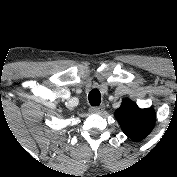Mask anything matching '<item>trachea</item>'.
<instances>
[{
  "label": "trachea",
  "instance_id": "obj_1",
  "mask_svg": "<svg viewBox=\"0 0 177 177\" xmlns=\"http://www.w3.org/2000/svg\"><path fill=\"white\" fill-rule=\"evenodd\" d=\"M88 100L91 106H99L101 103V94L98 89H92L89 92Z\"/></svg>",
  "mask_w": 177,
  "mask_h": 177
}]
</instances>
